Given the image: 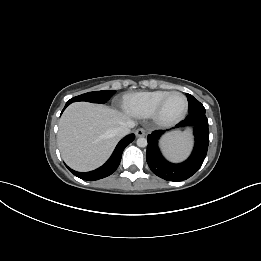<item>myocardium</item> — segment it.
I'll use <instances>...</instances> for the list:
<instances>
[{"label":"myocardium","mask_w":261,"mask_h":261,"mask_svg":"<svg viewBox=\"0 0 261 261\" xmlns=\"http://www.w3.org/2000/svg\"><path fill=\"white\" fill-rule=\"evenodd\" d=\"M180 95L182 96V98L184 99V109L183 111L175 118H172V119H167V118H164L163 115H162V109H163V106L166 102V100L172 96V95ZM188 108H189V102H188V99L186 97L185 94H183L182 92H179V91H171V92H168L158 103V105L156 106V109L153 113V119L154 121L160 125V126H163V127H171V126H174L176 124H178L179 122H181L185 116L187 115V112H188Z\"/></svg>","instance_id":"1"}]
</instances>
